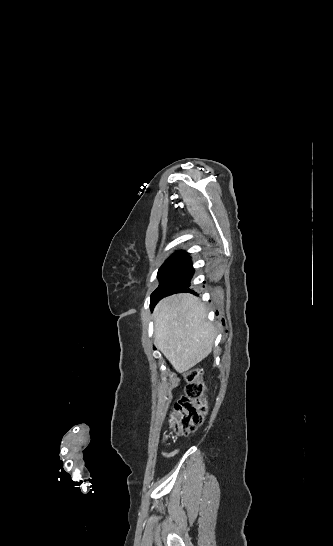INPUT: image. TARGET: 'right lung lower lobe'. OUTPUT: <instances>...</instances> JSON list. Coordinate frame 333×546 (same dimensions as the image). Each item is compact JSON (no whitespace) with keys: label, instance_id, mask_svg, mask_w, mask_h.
I'll use <instances>...</instances> for the list:
<instances>
[{"label":"right lung lower lobe","instance_id":"98d812e1","mask_svg":"<svg viewBox=\"0 0 333 546\" xmlns=\"http://www.w3.org/2000/svg\"><path fill=\"white\" fill-rule=\"evenodd\" d=\"M193 274L194 268L191 264L190 256L186 254L184 258L170 268L161 278L159 286L154 291L155 293L151 298V308L153 309L160 299L168 295L181 292L193 293V291L189 289L190 280Z\"/></svg>","mask_w":333,"mask_h":546}]
</instances>
